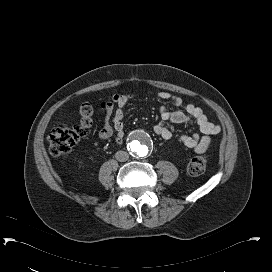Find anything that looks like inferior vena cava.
Here are the masks:
<instances>
[{"label": "inferior vena cava", "instance_id": "602c4592", "mask_svg": "<svg viewBox=\"0 0 272 272\" xmlns=\"http://www.w3.org/2000/svg\"><path fill=\"white\" fill-rule=\"evenodd\" d=\"M115 158L119 161V162H124V161H127L128 158H129V155L127 152L125 151H117L116 154H115Z\"/></svg>", "mask_w": 272, "mask_h": 272}]
</instances>
